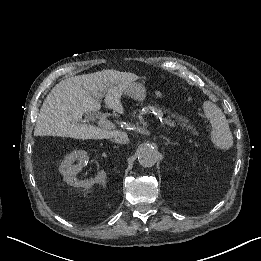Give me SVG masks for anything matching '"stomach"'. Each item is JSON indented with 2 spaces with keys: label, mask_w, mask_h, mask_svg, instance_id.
Returning a JSON list of instances; mask_svg holds the SVG:
<instances>
[{
  "label": "stomach",
  "mask_w": 261,
  "mask_h": 261,
  "mask_svg": "<svg viewBox=\"0 0 261 261\" xmlns=\"http://www.w3.org/2000/svg\"><path fill=\"white\" fill-rule=\"evenodd\" d=\"M124 94L142 102L146 98V89L143 84L133 82L124 90Z\"/></svg>",
  "instance_id": "stomach-1"
}]
</instances>
